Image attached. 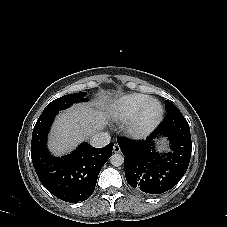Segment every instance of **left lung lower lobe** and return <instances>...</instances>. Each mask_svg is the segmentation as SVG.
I'll use <instances>...</instances> for the list:
<instances>
[{"instance_id": "1", "label": "left lung lower lobe", "mask_w": 227, "mask_h": 227, "mask_svg": "<svg viewBox=\"0 0 227 227\" xmlns=\"http://www.w3.org/2000/svg\"><path fill=\"white\" fill-rule=\"evenodd\" d=\"M170 141L169 153L155 149L157 139ZM128 184L139 194L156 196L171 190L184 176L191 158L189 125L175 106L146 140L118 138Z\"/></svg>"}]
</instances>
